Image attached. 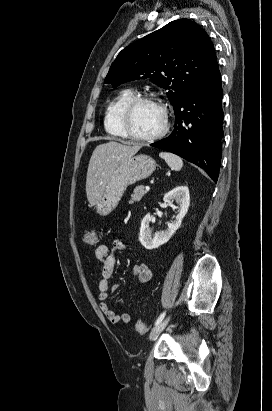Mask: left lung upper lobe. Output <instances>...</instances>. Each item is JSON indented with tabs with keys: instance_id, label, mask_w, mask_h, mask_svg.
I'll return each instance as SVG.
<instances>
[{
	"instance_id": "obj_1",
	"label": "left lung upper lobe",
	"mask_w": 272,
	"mask_h": 411,
	"mask_svg": "<svg viewBox=\"0 0 272 411\" xmlns=\"http://www.w3.org/2000/svg\"><path fill=\"white\" fill-rule=\"evenodd\" d=\"M217 58L207 33L195 22L179 19L123 49L104 83L149 78L167 91L173 108L214 65Z\"/></svg>"
}]
</instances>
